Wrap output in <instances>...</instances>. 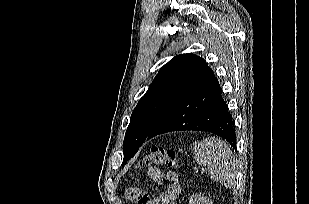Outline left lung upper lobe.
<instances>
[{
	"instance_id": "1",
	"label": "left lung upper lobe",
	"mask_w": 309,
	"mask_h": 204,
	"mask_svg": "<svg viewBox=\"0 0 309 204\" xmlns=\"http://www.w3.org/2000/svg\"><path fill=\"white\" fill-rule=\"evenodd\" d=\"M214 73L196 55H176L165 64L135 107L123 143L122 165L133 157L160 117L177 101L191 93Z\"/></svg>"
}]
</instances>
